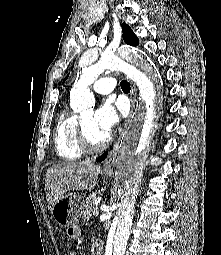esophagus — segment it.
Here are the masks:
<instances>
[{"label":"esophagus","mask_w":221,"mask_h":255,"mask_svg":"<svg viewBox=\"0 0 221 255\" xmlns=\"http://www.w3.org/2000/svg\"><path fill=\"white\" fill-rule=\"evenodd\" d=\"M136 95H137V89H136L135 85L133 83H131V92H130L131 110H130V114H129L128 118L125 121L124 128L127 127L130 119L132 118L133 111L135 108V103H136ZM122 134H123V131L120 133V136H119L117 142L114 144L112 150L109 152L108 157L104 162L103 171H105V172H109V173L113 172L114 163H115V160L117 157V152L119 149V144H120V139H121Z\"/></svg>","instance_id":"esophagus-1"}]
</instances>
